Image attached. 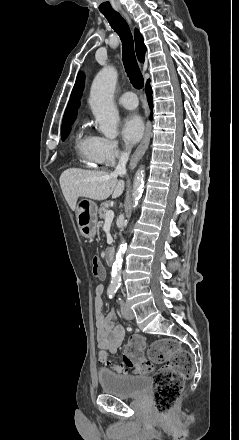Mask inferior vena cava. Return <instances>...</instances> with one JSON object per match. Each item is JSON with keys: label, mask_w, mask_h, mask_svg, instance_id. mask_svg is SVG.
<instances>
[{"label": "inferior vena cava", "mask_w": 239, "mask_h": 440, "mask_svg": "<svg viewBox=\"0 0 239 440\" xmlns=\"http://www.w3.org/2000/svg\"><path fill=\"white\" fill-rule=\"evenodd\" d=\"M131 154V146H128L127 142L125 144V148H124V152H121V154H119L118 158H119V162L115 168V172H113V174H116V176H125L127 170H126V164L129 160V156ZM119 299H124V296H119ZM123 307H126V304L122 305Z\"/></svg>", "instance_id": "602c4592"}]
</instances>
